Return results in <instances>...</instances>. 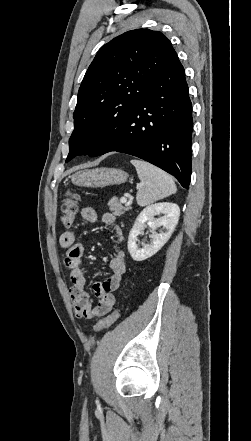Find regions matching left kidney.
I'll return each mask as SVG.
<instances>
[{
	"label": "left kidney",
	"mask_w": 251,
	"mask_h": 441,
	"mask_svg": "<svg viewBox=\"0 0 251 441\" xmlns=\"http://www.w3.org/2000/svg\"><path fill=\"white\" fill-rule=\"evenodd\" d=\"M162 213L164 216L155 219L154 215ZM180 216V208L177 204L162 202L152 204L144 208L135 220L128 237V251L135 261H143L156 254L169 240ZM147 225L152 229L150 235L152 243L142 248L138 247L137 237ZM162 227L159 233L155 230Z\"/></svg>",
	"instance_id": "5707ae66"
}]
</instances>
